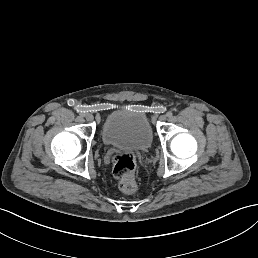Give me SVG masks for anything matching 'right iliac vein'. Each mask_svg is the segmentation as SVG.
Segmentation results:
<instances>
[{"label": "right iliac vein", "mask_w": 258, "mask_h": 258, "mask_svg": "<svg viewBox=\"0 0 258 258\" xmlns=\"http://www.w3.org/2000/svg\"><path fill=\"white\" fill-rule=\"evenodd\" d=\"M85 119L87 122H92L93 121V116L91 113H86L85 114Z\"/></svg>", "instance_id": "63e3f726"}]
</instances>
